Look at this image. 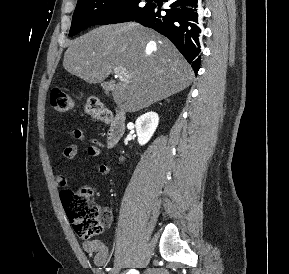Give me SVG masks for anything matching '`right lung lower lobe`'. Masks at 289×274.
<instances>
[{"mask_svg": "<svg viewBox=\"0 0 289 274\" xmlns=\"http://www.w3.org/2000/svg\"><path fill=\"white\" fill-rule=\"evenodd\" d=\"M167 9L151 3L135 20L169 38L190 63L194 72L200 67L199 37L201 33L199 0H164ZM166 14L162 15L161 11Z\"/></svg>", "mask_w": 289, "mask_h": 274, "instance_id": "98d812e1", "label": "right lung lower lobe"}]
</instances>
